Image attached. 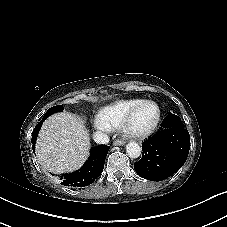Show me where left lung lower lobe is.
I'll return each mask as SVG.
<instances>
[{
	"instance_id": "1",
	"label": "left lung lower lobe",
	"mask_w": 227,
	"mask_h": 227,
	"mask_svg": "<svg viewBox=\"0 0 227 227\" xmlns=\"http://www.w3.org/2000/svg\"><path fill=\"white\" fill-rule=\"evenodd\" d=\"M190 149V135L179 116L168 114L159 132L142 143V158L134 163L137 174L152 181H162L185 163Z\"/></svg>"
}]
</instances>
